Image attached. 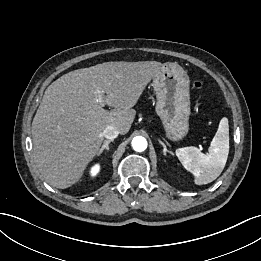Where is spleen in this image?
<instances>
[{
    "label": "spleen",
    "mask_w": 261,
    "mask_h": 261,
    "mask_svg": "<svg viewBox=\"0 0 261 261\" xmlns=\"http://www.w3.org/2000/svg\"><path fill=\"white\" fill-rule=\"evenodd\" d=\"M175 153L184 168L194 175L195 184L203 185L214 181L223 171L228 158V119H221L208 154H203L194 146L179 148Z\"/></svg>",
    "instance_id": "1"
}]
</instances>
